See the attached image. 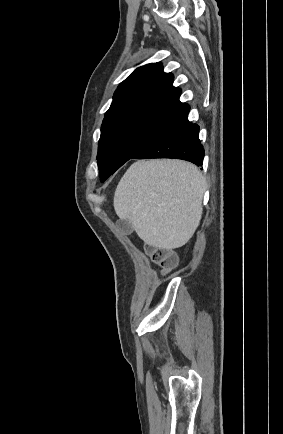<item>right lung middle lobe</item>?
Listing matches in <instances>:
<instances>
[{
	"label": "right lung middle lobe",
	"mask_w": 283,
	"mask_h": 434,
	"mask_svg": "<svg viewBox=\"0 0 283 434\" xmlns=\"http://www.w3.org/2000/svg\"><path fill=\"white\" fill-rule=\"evenodd\" d=\"M173 122L148 114H131L104 121L97 155L101 182Z\"/></svg>",
	"instance_id": "dd1d6c3e"
}]
</instances>
